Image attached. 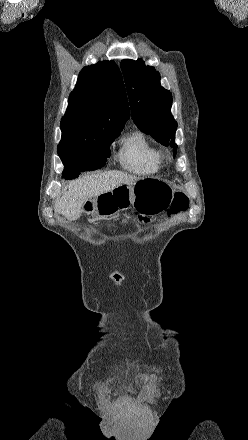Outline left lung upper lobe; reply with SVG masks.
Returning a JSON list of instances; mask_svg holds the SVG:
<instances>
[{"label":"left lung upper lobe","instance_id":"5c2ea615","mask_svg":"<svg viewBox=\"0 0 248 440\" xmlns=\"http://www.w3.org/2000/svg\"><path fill=\"white\" fill-rule=\"evenodd\" d=\"M121 68L136 126L164 146H174L177 122L171 115L172 95L160 85V74L138 59L124 60Z\"/></svg>","mask_w":248,"mask_h":440}]
</instances>
